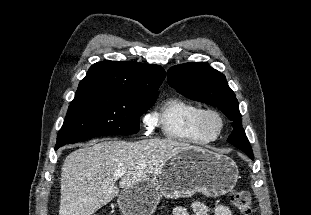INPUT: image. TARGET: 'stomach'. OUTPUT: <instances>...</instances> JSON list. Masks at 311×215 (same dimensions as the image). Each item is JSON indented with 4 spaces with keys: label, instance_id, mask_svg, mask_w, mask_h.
Here are the masks:
<instances>
[{
    "label": "stomach",
    "instance_id": "obj_1",
    "mask_svg": "<svg viewBox=\"0 0 311 215\" xmlns=\"http://www.w3.org/2000/svg\"><path fill=\"white\" fill-rule=\"evenodd\" d=\"M237 178L238 167L231 158L191 146L164 162L152 177L124 189L118 205L123 215H152L162 196H222L234 188Z\"/></svg>",
    "mask_w": 311,
    "mask_h": 215
}]
</instances>
